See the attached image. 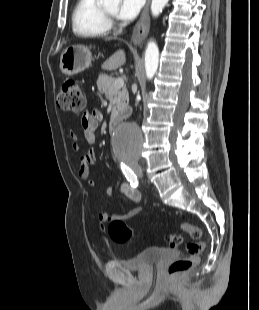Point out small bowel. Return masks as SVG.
Returning a JSON list of instances; mask_svg holds the SVG:
<instances>
[{"label":"small bowel","mask_w":259,"mask_h":310,"mask_svg":"<svg viewBox=\"0 0 259 310\" xmlns=\"http://www.w3.org/2000/svg\"><path fill=\"white\" fill-rule=\"evenodd\" d=\"M101 120H102V113L99 110L85 112L81 117V126L83 130L84 141L90 147L87 150V152L81 157L80 166L78 169V176L80 179L86 181L87 185L92 189L96 187V182L94 179L90 177V167L94 165L97 161L93 144L95 143L96 132ZM69 135L72 140V149L74 151H78L80 148L78 142V135L73 130H70ZM119 192L136 203L141 202V194L139 190L137 189V187H133L129 183L120 184ZM141 210L142 207L137 206L123 215H110L106 210H102L98 213V220L100 223V227L102 231L105 232V225L110 223L113 219L116 218L128 219L139 214Z\"/></svg>","instance_id":"obj_1"}]
</instances>
